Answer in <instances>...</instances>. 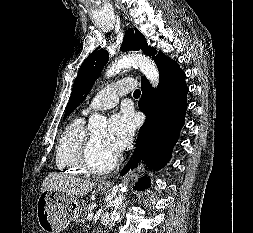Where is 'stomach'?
I'll return each instance as SVG.
<instances>
[{
  "label": "stomach",
  "instance_id": "0dacf381",
  "mask_svg": "<svg viewBox=\"0 0 253 233\" xmlns=\"http://www.w3.org/2000/svg\"><path fill=\"white\" fill-rule=\"evenodd\" d=\"M101 194L108 189L99 187ZM78 208L77 198L59 190H45L37 201V220L45 233H59L72 221Z\"/></svg>",
  "mask_w": 253,
  "mask_h": 233
}]
</instances>
